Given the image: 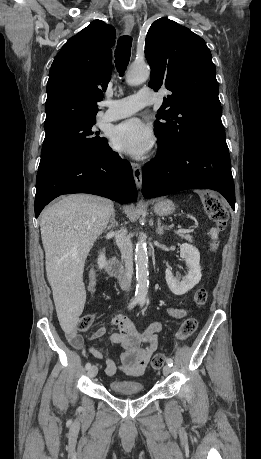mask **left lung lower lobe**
<instances>
[{"label": "left lung lower lobe", "instance_id": "0a47b994", "mask_svg": "<svg viewBox=\"0 0 261 459\" xmlns=\"http://www.w3.org/2000/svg\"><path fill=\"white\" fill-rule=\"evenodd\" d=\"M145 198L186 189H212L235 207V190L225 136L197 139L183 148L159 140L156 157L142 171Z\"/></svg>", "mask_w": 261, "mask_h": 459}]
</instances>
